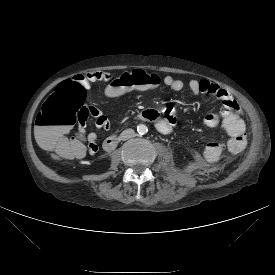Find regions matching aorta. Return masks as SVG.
Wrapping results in <instances>:
<instances>
[{"mask_svg": "<svg viewBox=\"0 0 275 275\" xmlns=\"http://www.w3.org/2000/svg\"><path fill=\"white\" fill-rule=\"evenodd\" d=\"M147 131H148V128H147L146 125H144V124H139V125L137 126V132H138L139 134L143 135V134L147 133Z\"/></svg>", "mask_w": 275, "mask_h": 275, "instance_id": "762f6f07", "label": "aorta"}]
</instances>
